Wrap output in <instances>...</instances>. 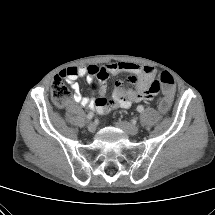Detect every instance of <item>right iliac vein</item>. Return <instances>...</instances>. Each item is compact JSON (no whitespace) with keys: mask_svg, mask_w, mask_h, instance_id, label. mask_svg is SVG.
<instances>
[{"mask_svg":"<svg viewBox=\"0 0 215 215\" xmlns=\"http://www.w3.org/2000/svg\"><path fill=\"white\" fill-rule=\"evenodd\" d=\"M87 128H88V131H89V132H95L97 126H96L95 123H90V124H88Z\"/></svg>","mask_w":215,"mask_h":215,"instance_id":"1","label":"right iliac vein"}]
</instances>
